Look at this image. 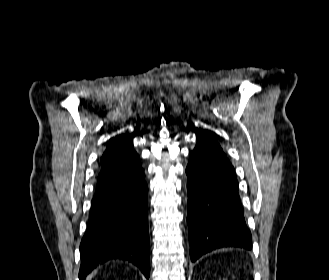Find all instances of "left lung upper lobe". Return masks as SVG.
I'll use <instances>...</instances> for the list:
<instances>
[{
  "mask_svg": "<svg viewBox=\"0 0 329 280\" xmlns=\"http://www.w3.org/2000/svg\"><path fill=\"white\" fill-rule=\"evenodd\" d=\"M221 151L220 145L215 139V134L209 131H204L200 136L199 141L196 144L194 150L190 153L189 161L200 162L201 164H206L204 161V156L211 154L213 151ZM210 165H205V168H209Z\"/></svg>",
  "mask_w": 329,
  "mask_h": 280,
  "instance_id": "left-lung-upper-lobe-1",
  "label": "left lung upper lobe"
}]
</instances>
